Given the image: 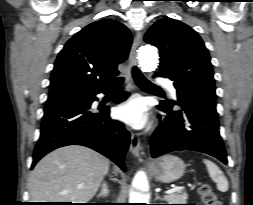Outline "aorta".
Returning <instances> with one entry per match:
<instances>
[{
	"instance_id": "762f6f07",
	"label": "aorta",
	"mask_w": 253,
	"mask_h": 205,
	"mask_svg": "<svg viewBox=\"0 0 253 205\" xmlns=\"http://www.w3.org/2000/svg\"><path fill=\"white\" fill-rule=\"evenodd\" d=\"M159 63V57L156 47L150 44L142 46L139 50V67L143 72L154 71ZM148 196L145 192L132 190L130 193L129 203L143 204L146 203Z\"/></svg>"
}]
</instances>
